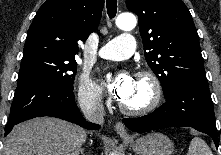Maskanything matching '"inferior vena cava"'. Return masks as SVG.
Returning <instances> with one entry per match:
<instances>
[{
    "label": "inferior vena cava",
    "instance_id": "602c4592",
    "mask_svg": "<svg viewBox=\"0 0 221 155\" xmlns=\"http://www.w3.org/2000/svg\"><path fill=\"white\" fill-rule=\"evenodd\" d=\"M79 105L88 121L97 124H102L104 122L105 110L98 91L80 96Z\"/></svg>",
    "mask_w": 221,
    "mask_h": 155
}]
</instances>
